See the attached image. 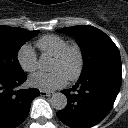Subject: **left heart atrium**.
<instances>
[{
    "mask_svg": "<svg viewBox=\"0 0 128 128\" xmlns=\"http://www.w3.org/2000/svg\"><path fill=\"white\" fill-rule=\"evenodd\" d=\"M67 77L61 71L38 72L30 76L29 84L43 91H51L65 85Z\"/></svg>",
    "mask_w": 128,
    "mask_h": 128,
    "instance_id": "1",
    "label": "left heart atrium"
}]
</instances>
